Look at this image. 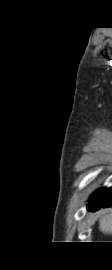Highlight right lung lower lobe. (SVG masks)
I'll use <instances>...</instances> for the list:
<instances>
[{"label":"right lung lower lobe","instance_id":"1","mask_svg":"<svg viewBox=\"0 0 112 270\" xmlns=\"http://www.w3.org/2000/svg\"><path fill=\"white\" fill-rule=\"evenodd\" d=\"M105 207H112V189L101 188L89 199L88 209L95 211Z\"/></svg>","mask_w":112,"mask_h":270}]
</instances>
